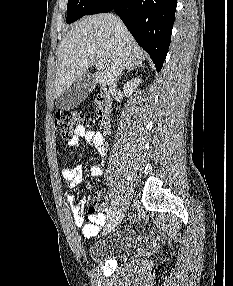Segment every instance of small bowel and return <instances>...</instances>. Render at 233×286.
I'll return each instance as SVG.
<instances>
[{
    "instance_id": "c3829d8e",
    "label": "small bowel",
    "mask_w": 233,
    "mask_h": 286,
    "mask_svg": "<svg viewBox=\"0 0 233 286\" xmlns=\"http://www.w3.org/2000/svg\"><path fill=\"white\" fill-rule=\"evenodd\" d=\"M81 139L91 145L97 150V162L94 163L90 169L92 176H100L103 172V166L108 154V142L106 138L98 131L89 130L86 126L79 125L74 130V135L67 141L66 148H74L79 145ZM62 176L65 186L68 189H75L84 182L83 169L80 166L63 167ZM67 201L71 205V211L74 224L82 228V233L86 238H91L97 235L101 226L105 222V214L103 211H97V208L106 207V199L98 196L94 205L89 209L88 223H85V201H76L73 194L67 195Z\"/></svg>"
}]
</instances>
